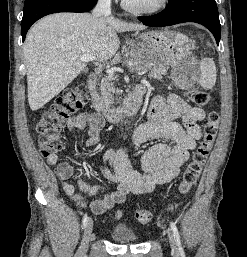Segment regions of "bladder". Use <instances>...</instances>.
I'll return each mask as SVG.
<instances>
[{
    "instance_id": "1",
    "label": "bladder",
    "mask_w": 247,
    "mask_h": 257,
    "mask_svg": "<svg viewBox=\"0 0 247 257\" xmlns=\"http://www.w3.org/2000/svg\"><path fill=\"white\" fill-rule=\"evenodd\" d=\"M111 238L120 243L134 242L138 240V236L125 227L118 226L112 229Z\"/></svg>"
}]
</instances>
